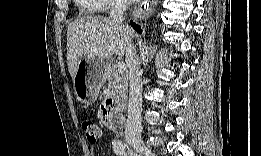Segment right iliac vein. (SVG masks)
Listing matches in <instances>:
<instances>
[{"label":"right iliac vein","mask_w":261,"mask_h":156,"mask_svg":"<svg viewBox=\"0 0 261 156\" xmlns=\"http://www.w3.org/2000/svg\"><path fill=\"white\" fill-rule=\"evenodd\" d=\"M135 150L144 156H154L153 152L142 142H134Z\"/></svg>","instance_id":"1"}]
</instances>
